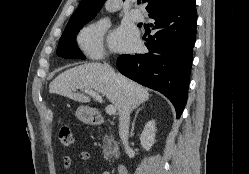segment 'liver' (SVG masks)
<instances>
[{
    "mask_svg": "<svg viewBox=\"0 0 249 174\" xmlns=\"http://www.w3.org/2000/svg\"><path fill=\"white\" fill-rule=\"evenodd\" d=\"M77 90H92L101 93L119 112L122 98L130 111L149 99L148 89L116 73L105 64L92 62L68 69L58 75L49 85V92L69 99L88 103L90 98Z\"/></svg>",
    "mask_w": 249,
    "mask_h": 174,
    "instance_id": "6515ba94",
    "label": "liver"
}]
</instances>
